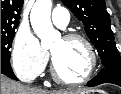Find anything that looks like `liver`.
Here are the masks:
<instances>
[{"instance_id": "obj_1", "label": "liver", "mask_w": 121, "mask_h": 94, "mask_svg": "<svg viewBox=\"0 0 121 94\" xmlns=\"http://www.w3.org/2000/svg\"><path fill=\"white\" fill-rule=\"evenodd\" d=\"M79 90L48 91L24 86L1 74V94H80Z\"/></svg>"}]
</instances>
